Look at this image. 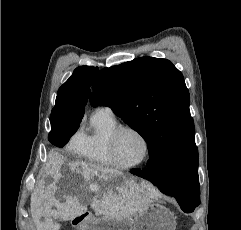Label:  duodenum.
<instances>
[{"instance_id": "1", "label": "duodenum", "mask_w": 241, "mask_h": 230, "mask_svg": "<svg viewBox=\"0 0 241 230\" xmlns=\"http://www.w3.org/2000/svg\"><path fill=\"white\" fill-rule=\"evenodd\" d=\"M89 219V215L87 213H82L77 216H75L72 220V224L75 227H80L84 225Z\"/></svg>"}]
</instances>
